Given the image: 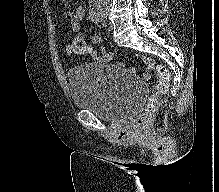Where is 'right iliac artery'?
Here are the masks:
<instances>
[{"instance_id":"right-iliac-artery-1","label":"right iliac artery","mask_w":219,"mask_h":192,"mask_svg":"<svg viewBox=\"0 0 219 192\" xmlns=\"http://www.w3.org/2000/svg\"><path fill=\"white\" fill-rule=\"evenodd\" d=\"M95 18L98 22H102L103 21V18H104V15L102 12H97L96 15H95Z\"/></svg>"}]
</instances>
